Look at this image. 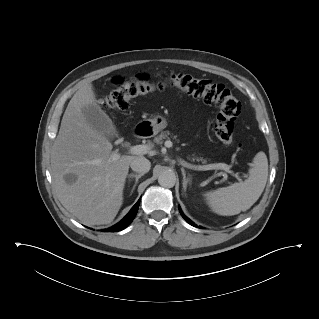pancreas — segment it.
Listing matches in <instances>:
<instances>
[{
  "instance_id": "cf45deb5",
  "label": "pancreas",
  "mask_w": 319,
  "mask_h": 319,
  "mask_svg": "<svg viewBox=\"0 0 319 319\" xmlns=\"http://www.w3.org/2000/svg\"><path fill=\"white\" fill-rule=\"evenodd\" d=\"M169 135H170L169 131H163V132L160 133L159 136H157V137L154 138V142H155L156 144H161L163 139H166V138L169 139ZM189 159H191L192 161H195V160H196V161L201 162V163H203V164H206V163H207V160H206V159H203L202 157H200V158H199V157H197V158L192 157V158H189Z\"/></svg>"
}]
</instances>
